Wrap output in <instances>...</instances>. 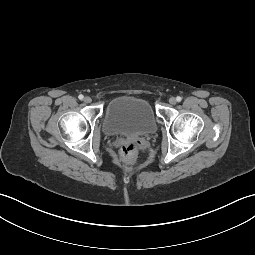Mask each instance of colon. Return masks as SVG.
Instances as JSON below:
<instances>
[{
    "label": "colon",
    "mask_w": 255,
    "mask_h": 255,
    "mask_svg": "<svg viewBox=\"0 0 255 255\" xmlns=\"http://www.w3.org/2000/svg\"><path fill=\"white\" fill-rule=\"evenodd\" d=\"M139 149V143L135 140H127L120 145V155L127 164H133L136 160Z\"/></svg>",
    "instance_id": "5ec220e1"
}]
</instances>
